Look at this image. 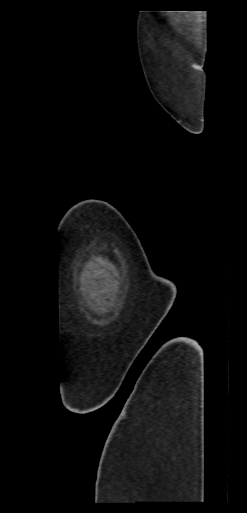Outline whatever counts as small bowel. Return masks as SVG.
Wrapping results in <instances>:
<instances>
[{"instance_id":"c3829d8e","label":"small bowel","mask_w":247,"mask_h":513,"mask_svg":"<svg viewBox=\"0 0 247 513\" xmlns=\"http://www.w3.org/2000/svg\"><path fill=\"white\" fill-rule=\"evenodd\" d=\"M78 284L83 290L86 289L88 286V278L84 275H80Z\"/></svg>"}]
</instances>
